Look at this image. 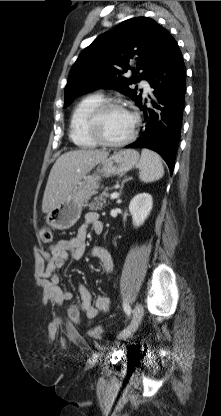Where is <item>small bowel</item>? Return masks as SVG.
<instances>
[{"instance_id": "obj_1", "label": "small bowel", "mask_w": 221, "mask_h": 416, "mask_svg": "<svg viewBox=\"0 0 221 416\" xmlns=\"http://www.w3.org/2000/svg\"><path fill=\"white\" fill-rule=\"evenodd\" d=\"M89 227L96 234L103 232L104 226L98 213L87 212L84 215L83 224L78 228L74 237L60 240L41 253L44 263L41 277L46 283L49 297L54 304L66 306L67 315L75 324L83 322L82 314L85 315L88 322H92L100 313L106 312L110 306L109 298L104 295H99L93 302L91 293L83 284H79L77 287L81 303L79 305H67V302L73 298V293L63 289L60 285L58 271L65 265L68 258L80 259L83 256ZM92 255L100 260L103 269L107 273L113 271L114 262L106 249L95 247L92 250Z\"/></svg>"}]
</instances>
